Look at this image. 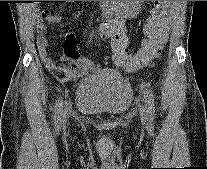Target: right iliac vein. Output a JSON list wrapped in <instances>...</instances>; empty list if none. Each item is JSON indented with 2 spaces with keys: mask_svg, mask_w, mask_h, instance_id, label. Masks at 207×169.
<instances>
[{
  "mask_svg": "<svg viewBox=\"0 0 207 169\" xmlns=\"http://www.w3.org/2000/svg\"><path fill=\"white\" fill-rule=\"evenodd\" d=\"M62 117H63V121H64L66 118V112L63 113Z\"/></svg>",
  "mask_w": 207,
  "mask_h": 169,
  "instance_id": "obj_1",
  "label": "right iliac vein"
}]
</instances>
